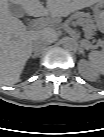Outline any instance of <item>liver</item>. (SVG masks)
Returning <instances> with one entry per match:
<instances>
[{"label":"liver","mask_w":104,"mask_h":137,"mask_svg":"<svg viewBox=\"0 0 104 137\" xmlns=\"http://www.w3.org/2000/svg\"><path fill=\"white\" fill-rule=\"evenodd\" d=\"M8 2L23 7L29 16L66 17L70 13L102 0H47L45 8L39 0H1L0 5V83L19 82L24 66L33 52V43L41 38L56 40L57 34L49 29L26 31V27L9 10ZM50 34V35H49Z\"/></svg>","instance_id":"6515ba94"}]
</instances>
